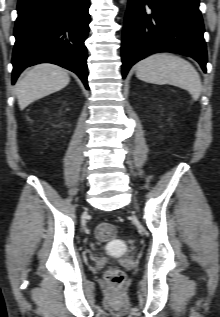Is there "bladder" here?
<instances>
[{
    "instance_id": "bladder-1",
    "label": "bladder",
    "mask_w": 220,
    "mask_h": 317,
    "mask_svg": "<svg viewBox=\"0 0 220 317\" xmlns=\"http://www.w3.org/2000/svg\"><path fill=\"white\" fill-rule=\"evenodd\" d=\"M126 245L120 240H112L108 244V251L112 254L121 255L126 252Z\"/></svg>"
}]
</instances>
